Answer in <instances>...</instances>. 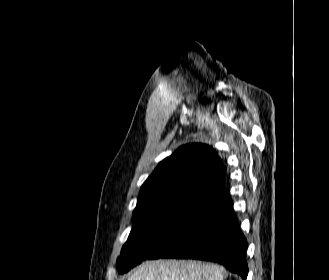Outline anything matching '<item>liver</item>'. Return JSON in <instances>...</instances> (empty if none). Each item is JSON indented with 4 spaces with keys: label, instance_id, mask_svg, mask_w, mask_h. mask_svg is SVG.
Masks as SVG:
<instances>
[{
    "label": "liver",
    "instance_id": "liver-1",
    "mask_svg": "<svg viewBox=\"0 0 329 280\" xmlns=\"http://www.w3.org/2000/svg\"><path fill=\"white\" fill-rule=\"evenodd\" d=\"M223 268L192 260H155L141 264L128 280H223Z\"/></svg>",
    "mask_w": 329,
    "mask_h": 280
}]
</instances>
